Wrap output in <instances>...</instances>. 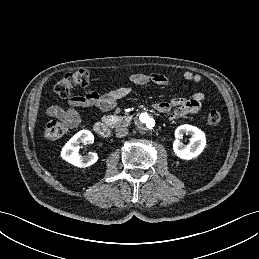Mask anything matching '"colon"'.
Listing matches in <instances>:
<instances>
[{
    "instance_id": "1",
    "label": "colon",
    "mask_w": 259,
    "mask_h": 259,
    "mask_svg": "<svg viewBox=\"0 0 259 259\" xmlns=\"http://www.w3.org/2000/svg\"><path fill=\"white\" fill-rule=\"evenodd\" d=\"M90 82L89 73L85 70H78L66 73L55 85V92L61 98L70 97L76 87H87ZM221 121V114L210 111L207 115V123L211 126L218 125ZM69 129V125L64 122L51 121L44 128V135L49 140H57L64 136Z\"/></svg>"
}]
</instances>
